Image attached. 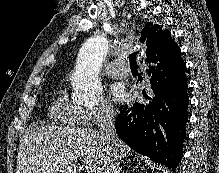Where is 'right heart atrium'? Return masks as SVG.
Here are the masks:
<instances>
[{"label": "right heart atrium", "mask_w": 219, "mask_h": 173, "mask_svg": "<svg viewBox=\"0 0 219 173\" xmlns=\"http://www.w3.org/2000/svg\"><path fill=\"white\" fill-rule=\"evenodd\" d=\"M114 115V108L106 98H101L92 107L79 109L80 124L85 126H95L110 120Z\"/></svg>", "instance_id": "obj_1"}]
</instances>
